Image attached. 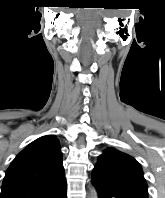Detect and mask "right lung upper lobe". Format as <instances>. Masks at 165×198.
Segmentation results:
<instances>
[{
  "label": "right lung upper lobe",
  "instance_id": "1",
  "mask_svg": "<svg viewBox=\"0 0 165 198\" xmlns=\"http://www.w3.org/2000/svg\"><path fill=\"white\" fill-rule=\"evenodd\" d=\"M65 189L59 141L46 135L30 143L12 161L1 198H56Z\"/></svg>",
  "mask_w": 165,
  "mask_h": 198
}]
</instances>
